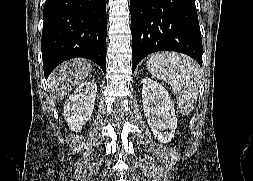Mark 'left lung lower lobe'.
<instances>
[{"label": "left lung lower lobe", "instance_id": "left-lung-lower-lobe-1", "mask_svg": "<svg viewBox=\"0 0 253 181\" xmlns=\"http://www.w3.org/2000/svg\"><path fill=\"white\" fill-rule=\"evenodd\" d=\"M132 72L148 54L177 51L202 65V39L194 0H130Z\"/></svg>", "mask_w": 253, "mask_h": 181}]
</instances>
